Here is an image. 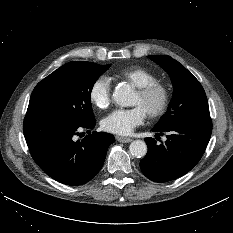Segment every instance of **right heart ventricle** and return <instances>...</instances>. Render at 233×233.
Here are the masks:
<instances>
[{
	"label": "right heart ventricle",
	"mask_w": 233,
	"mask_h": 233,
	"mask_svg": "<svg viewBox=\"0 0 233 233\" xmlns=\"http://www.w3.org/2000/svg\"><path fill=\"white\" fill-rule=\"evenodd\" d=\"M116 76L119 79L130 82L136 88L158 81V78L154 73L139 66L123 69L119 71Z\"/></svg>",
	"instance_id": "e07e8e85"
}]
</instances>
